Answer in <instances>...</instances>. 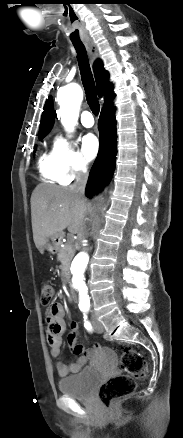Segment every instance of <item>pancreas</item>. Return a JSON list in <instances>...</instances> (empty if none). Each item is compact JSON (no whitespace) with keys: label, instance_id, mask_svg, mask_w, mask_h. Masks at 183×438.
<instances>
[{"label":"pancreas","instance_id":"1","mask_svg":"<svg viewBox=\"0 0 183 438\" xmlns=\"http://www.w3.org/2000/svg\"><path fill=\"white\" fill-rule=\"evenodd\" d=\"M73 256L74 248L71 243L68 242L63 248H59L58 260L62 263L60 269L63 273H66L68 271Z\"/></svg>","mask_w":183,"mask_h":438}]
</instances>
